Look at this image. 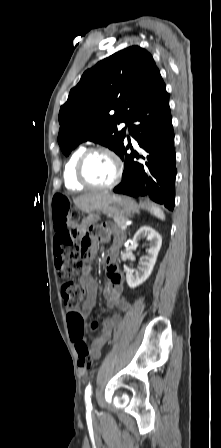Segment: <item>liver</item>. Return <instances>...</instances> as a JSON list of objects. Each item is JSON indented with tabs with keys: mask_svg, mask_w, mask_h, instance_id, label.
Here are the masks:
<instances>
[{
	"mask_svg": "<svg viewBox=\"0 0 221 448\" xmlns=\"http://www.w3.org/2000/svg\"><path fill=\"white\" fill-rule=\"evenodd\" d=\"M89 195H91V194L83 195V196H81L80 198H84V197H87V196H89ZM80 198H78V199H80ZM78 199H77V200H78ZM77 200H76V201H77Z\"/></svg>",
	"mask_w": 221,
	"mask_h": 448,
	"instance_id": "liver-1",
	"label": "liver"
}]
</instances>
